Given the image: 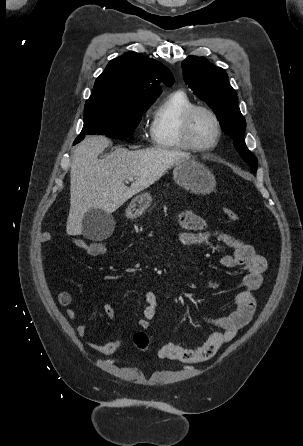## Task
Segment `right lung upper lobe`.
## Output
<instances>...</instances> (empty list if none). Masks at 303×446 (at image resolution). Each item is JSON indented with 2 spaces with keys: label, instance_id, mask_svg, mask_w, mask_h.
I'll return each instance as SVG.
<instances>
[{
  "label": "right lung upper lobe",
  "instance_id": "1",
  "mask_svg": "<svg viewBox=\"0 0 303 446\" xmlns=\"http://www.w3.org/2000/svg\"><path fill=\"white\" fill-rule=\"evenodd\" d=\"M161 82L168 86L174 82L162 63L138 53H127L108 63L96 79L85 107L150 106L162 92Z\"/></svg>",
  "mask_w": 303,
  "mask_h": 446
}]
</instances>
